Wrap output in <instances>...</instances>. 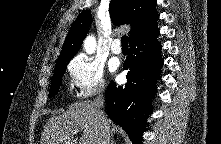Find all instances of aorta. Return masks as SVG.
Segmentation results:
<instances>
[{
  "label": "aorta",
  "mask_w": 221,
  "mask_h": 144,
  "mask_svg": "<svg viewBox=\"0 0 221 144\" xmlns=\"http://www.w3.org/2000/svg\"><path fill=\"white\" fill-rule=\"evenodd\" d=\"M84 49L86 53L93 54L96 49V40L94 36H87V38L84 41Z\"/></svg>",
  "instance_id": "762f6f07"
}]
</instances>
